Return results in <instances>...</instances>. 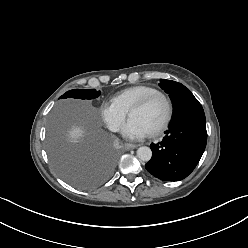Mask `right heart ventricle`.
Masks as SVG:
<instances>
[{
    "label": "right heart ventricle",
    "instance_id": "obj_1",
    "mask_svg": "<svg viewBox=\"0 0 248 248\" xmlns=\"http://www.w3.org/2000/svg\"><path fill=\"white\" fill-rule=\"evenodd\" d=\"M158 90L148 85H135L125 88L112 97V101L128 112L133 104Z\"/></svg>",
    "mask_w": 248,
    "mask_h": 248
}]
</instances>
